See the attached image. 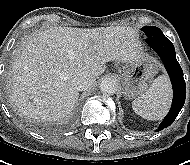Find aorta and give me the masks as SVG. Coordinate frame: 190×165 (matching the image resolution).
I'll list each match as a JSON object with an SVG mask.
<instances>
[{"label":"aorta","instance_id":"1","mask_svg":"<svg viewBox=\"0 0 190 165\" xmlns=\"http://www.w3.org/2000/svg\"><path fill=\"white\" fill-rule=\"evenodd\" d=\"M118 83L114 78H105L100 84V90L103 93L113 95L116 93Z\"/></svg>","mask_w":190,"mask_h":165}]
</instances>
